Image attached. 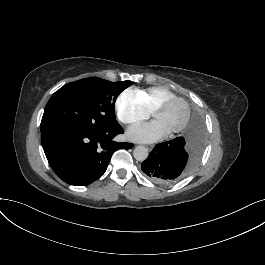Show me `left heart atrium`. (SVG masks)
Here are the masks:
<instances>
[{
	"label": "left heart atrium",
	"instance_id": "39dd6f15",
	"mask_svg": "<svg viewBox=\"0 0 265 265\" xmlns=\"http://www.w3.org/2000/svg\"><path fill=\"white\" fill-rule=\"evenodd\" d=\"M167 131L157 122L138 124L127 131V137L139 142H153L165 137Z\"/></svg>",
	"mask_w": 265,
	"mask_h": 265
}]
</instances>
